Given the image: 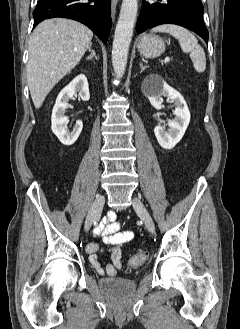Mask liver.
<instances>
[{
	"label": "liver",
	"instance_id": "6515ba94",
	"mask_svg": "<svg viewBox=\"0 0 240 329\" xmlns=\"http://www.w3.org/2000/svg\"><path fill=\"white\" fill-rule=\"evenodd\" d=\"M93 33L68 19L40 23L29 40L27 83L34 106L39 109L51 89L82 59Z\"/></svg>",
	"mask_w": 240,
	"mask_h": 329
}]
</instances>
